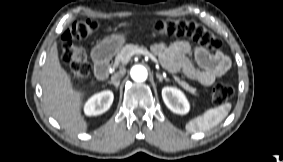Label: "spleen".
Masks as SVG:
<instances>
[{"mask_svg": "<svg viewBox=\"0 0 283 162\" xmlns=\"http://www.w3.org/2000/svg\"><path fill=\"white\" fill-rule=\"evenodd\" d=\"M231 110V104L225 103L216 108H211L204 114L191 119L185 128L189 132L207 131L217 126Z\"/></svg>", "mask_w": 283, "mask_h": 162, "instance_id": "spleen-1", "label": "spleen"}]
</instances>
